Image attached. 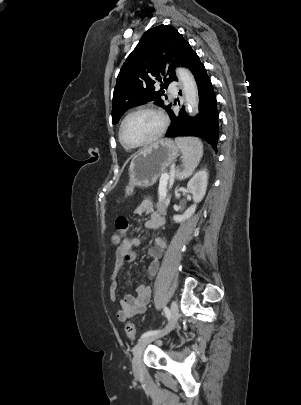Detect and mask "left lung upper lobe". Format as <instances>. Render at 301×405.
<instances>
[{"mask_svg": "<svg viewBox=\"0 0 301 405\" xmlns=\"http://www.w3.org/2000/svg\"><path fill=\"white\" fill-rule=\"evenodd\" d=\"M193 53L188 41L170 26L160 25L147 31L126 59L117 77L112 123H118L129 108L147 102H154L169 111L170 105L166 107L162 97L168 84L177 80L173 67L177 63L187 66ZM156 80L161 82L160 90L154 87Z\"/></svg>", "mask_w": 301, "mask_h": 405, "instance_id": "1", "label": "left lung upper lobe"}]
</instances>
